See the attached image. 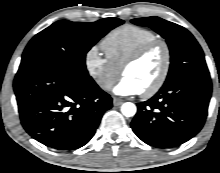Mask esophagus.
I'll return each instance as SVG.
<instances>
[{"label": "esophagus", "mask_w": 220, "mask_h": 173, "mask_svg": "<svg viewBox=\"0 0 220 173\" xmlns=\"http://www.w3.org/2000/svg\"><path fill=\"white\" fill-rule=\"evenodd\" d=\"M121 104H123V100H122V99L117 98V97H114V98H113V105H114V106H119V105H121Z\"/></svg>", "instance_id": "obj_1"}]
</instances>
